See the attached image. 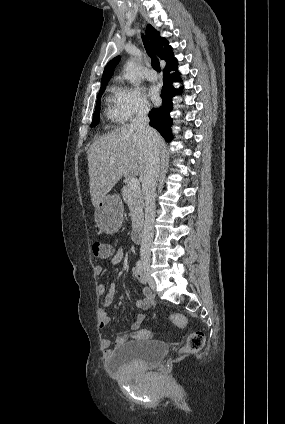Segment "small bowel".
Listing matches in <instances>:
<instances>
[{
  "instance_id": "obj_1",
  "label": "small bowel",
  "mask_w": 285,
  "mask_h": 424,
  "mask_svg": "<svg viewBox=\"0 0 285 424\" xmlns=\"http://www.w3.org/2000/svg\"><path fill=\"white\" fill-rule=\"evenodd\" d=\"M124 252H125L124 247L119 246L116 249V251L113 253V255L111 256V259H110L111 264L113 265L118 264L122 260ZM95 273L97 275H101L103 273V268L101 266H96ZM133 275L143 285V294H144L142 299L136 301L135 307L140 311L147 310L154 305V300L150 291L145 286L146 284L145 276L143 275L142 271H140L137 268V266L133 268ZM97 292L100 296H104V300L102 301V307H107L114 301L116 292H117V287L115 283H111L109 289L107 290L106 286L100 283L97 286ZM143 321H144V314L139 313L136 319L134 320V322L132 323L130 331L126 333H120L119 335L116 336L114 340L115 347H119L120 345L124 344L126 340L129 338L141 339L143 331H141L140 329H141ZM110 322H111L110 317L107 315L105 311H102L100 313L99 327L103 329L107 327L110 324ZM110 344H111V341L109 339H103L102 346L104 349L105 356H110L112 353L110 349Z\"/></svg>"
}]
</instances>
